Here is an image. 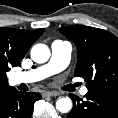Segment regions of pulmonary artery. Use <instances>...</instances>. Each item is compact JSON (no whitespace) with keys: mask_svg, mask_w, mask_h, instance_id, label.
<instances>
[{"mask_svg":"<svg viewBox=\"0 0 118 118\" xmlns=\"http://www.w3.org/2000/svg\"><path fill=\"white\" fill-rule=\"evenodd\" d=\"M71 53L72 45L68 41L55 40L51 45V58L47 64L30 71L11 74L10 83L12 85L29 84L58 73L68 66ZM87 93L86 87L80 90L82 96Z\"/></svg>","mask_w":118,"mask_h":118,"instance_id":"1","label":"pulmonary artery"}]
</instances>
